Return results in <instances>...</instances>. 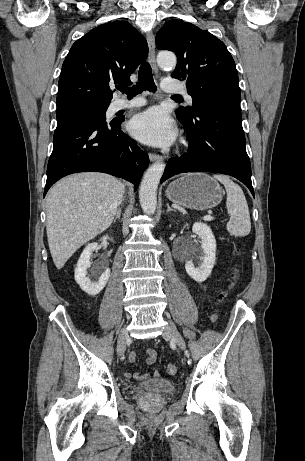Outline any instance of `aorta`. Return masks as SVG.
I'll return each instance as SVG.
<instances>
[{"label": "aorta", "instance_id": "aorta-1", "mask_svg": "<svg viewBox=\"0 0 305 461\" xmlns=\"http://www.w3.org/2000/svg\"><path fill=\"white\" fill-rule=\"evenodd\" d=\"M157 63L162 68H174L176 56L170 52H161L157 56ZM165 164L155 162L146 171L139 189L140 204L145 214L152 215L157 206V188L163 175Z\"/></svg>", "mask_w": 305, "mask_h": 461}]
</instances>
